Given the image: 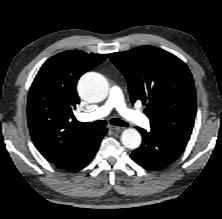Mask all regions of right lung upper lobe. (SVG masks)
I'll return each mask as SVG.
<instances>
[{"label":"right lung upper lobe","mask_w":222,"mask_h":219,"mask_svg":"<svg viewBox=\"0 0 222 219\" xmlns=\"http://www.w3.org/2000/svg\"><path fill=\"white\" fill-rule=\"evenodd\" d=\"M106 59L105 55L69 50L48 59L35 77L28 96L27 119L38 151L65 169L94 130L75 128L73 110L80 102L76 84L82 74Z\"/></svg>","instance_id":"obj_1"}]
</instances>
